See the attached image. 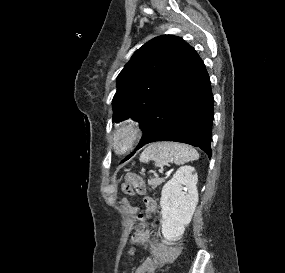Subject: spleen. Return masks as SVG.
I'll return each mask as SVG.
<instances>
[{
  "instance_id": "3e777b00",
  "label": "spleen",
  "mask_w": 285,
  "mask_h": 273,
  "mask_svg": "<svg viewBox=\"0 0 285 273\" xmlns=\"http://www.w3.org/2000/svg\"><path fill=\"white\" fill-rule=\"evenodd\" d=\"M199 159L198 152L187 144L176 142H158L149 145L141 154L140 161H153L156 167L162 168L169 162L181 165Z\"/></svg>"
}]
</instances>
